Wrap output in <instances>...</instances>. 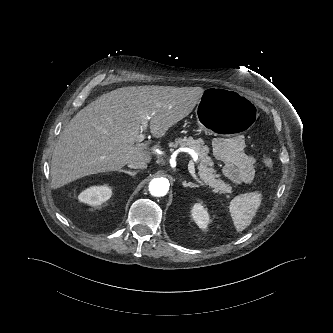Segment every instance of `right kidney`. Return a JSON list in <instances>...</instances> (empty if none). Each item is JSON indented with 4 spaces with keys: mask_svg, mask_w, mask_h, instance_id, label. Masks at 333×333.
<instances>
[{
    "mask_svg": "<svg viewBox=\"0 0 333 333\" xmlns=\"http://www.w3.org/2000/svg\"><path fill=\"white\" fill-rule=\"evenodd\" d=\"M112 195V190L104 186H92L80 193L78 199L87 203L91 206L101 205L103 202L107 201Z\"/></svg>",
    "mask_w": 333,
    "mask_h": 333,
    "instance_id": "1",
    "label": "right kidney"
}]
</instances>
